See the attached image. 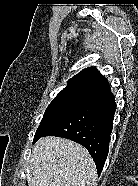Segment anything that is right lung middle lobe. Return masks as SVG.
<instances>
[{
	"mask_svg": "<svg viewBox=\"0 0 138 186\" xmlns=\"http://www.w3.org/2000/svg\"><path fill=\"white\" fill-rule=\"evenodd\" d=\"M91 96L92 90L89 89L76 87L64 88L47 107L35 133L33 143L71 112L87 103Z\"/></svg>",
	"mask_w": 138,
	"mask_h": 186,
	"instance_id": "obj_1",
	"label": "right lung middle lobe"
}]
</instances>
